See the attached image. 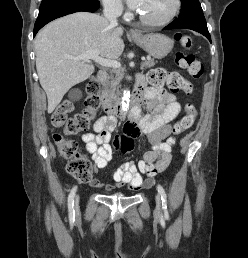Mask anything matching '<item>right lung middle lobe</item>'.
<instances>
[{
	"mask_svg": "<svg viewBox=\"0 0 248 258\" xmlns=\"http://www.w3.org/2000/svg\"><path fill=\"white\" fill-rule=\"evenodd\" d=\"M74 1H78V0H42L39 11H42L54 5L70 3Z\"/></svg>",
	"mask_w": 248,
	"mask_h": 258,
	"instance_id": "dd1d6c3e",
	"label": "right lung middle lobe"
}]
</instances>
